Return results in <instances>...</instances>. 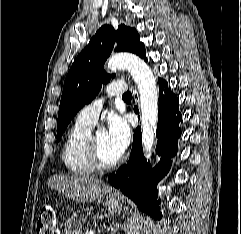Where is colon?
Masks as SVG:
<instances>
[{"label":"colon","mask_w":241,"mask_h":234,"mask_svg":"<svg viewBox=\"0 0 241 234\" xmlns=\"http://www.w3.org/2000/svg\"><path fill=\"white\" fill-rule=\"evenodd\" d=\"M57 226L54 209L51 206L44 207L38 217L36 234H57Z\"/></svg>","instance_id":"5ec220e1"}]
</instances>
